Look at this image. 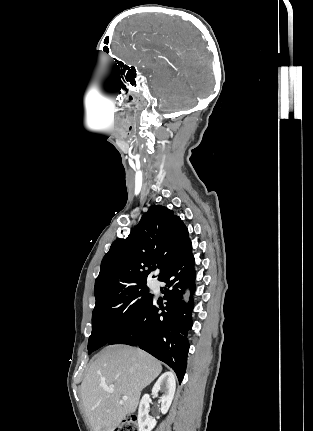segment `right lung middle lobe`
Here are the masks:
<instances>
[{"label":"right lung middle lobe","instance_id":"dd1d6c3e","mask_svg":"<svg viewBox=\"0 0 313 431\" xmlns=\"http://www.w3.org/2000/svg\"><path fill=\"white\" fill-rule=\"evenodd\" d=\"M153 300L146 285L134 286L96 302L92 314V333L88 351L108 344L126 330Z\"/></svg>","mask_w":313,"mask_h":431}]
</instances>
